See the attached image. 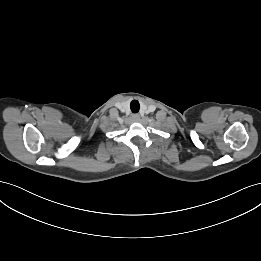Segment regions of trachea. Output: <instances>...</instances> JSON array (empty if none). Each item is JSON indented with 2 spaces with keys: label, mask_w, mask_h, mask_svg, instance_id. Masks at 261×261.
Here are the masks:
<instances>
[{
  "label": "trachea",
  "mask_w": 261,
  "mask_h": 261,
  "mask_svg": "<svg viewBox=\"0 0 261 261\" xmlns=\"http://www.w3.org/2000/svg\"><path fill=\"white\" fill-rule=\"evenodd\" d=\"M130 108H131V111L133 113H137L140 109V104L137 100H133L131 103H130Z\"/></svg>",
  "instance_id": "1"
}]
</instances>
